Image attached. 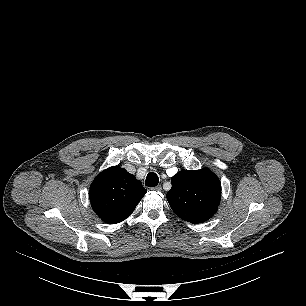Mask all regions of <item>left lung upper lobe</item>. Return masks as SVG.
Masks as SVG:
<instances>
[{"mask_svg": "<svg viewBox=\"0 0 306 306\" xmlns=\"http://www.w3.org/2000/svg\"><path fill=\"white\" fill-rule=\"evenodd\" d=\"M171 183L167 200L181 219L194 224L201 223L217 211L221 184L209 169L180 171L171 178Z\"/></svg>", "mask_w": 306, "mask_h": 306, "instance_id": "1", "label": "left lung upper lobe"}]
</instances>
